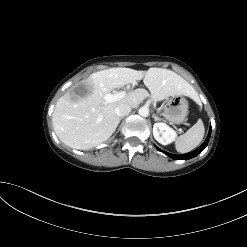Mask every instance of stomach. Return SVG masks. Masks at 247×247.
I'll use <instances>...</instances> for the list:
<instances>
[{"mask_svg": "<svg viewBox=\"0 0 247 247\" xmlns=\"http://www.w3.org/2000/svg\"><path fill=\"white\" fill-rule=\"evenodd\" d=\"M188 115V101L183 96H172L164 107V118L174 124L183 123Z\"/></svg>", "mask_w": 247, "mask_h": 247, "instance_id": "0dacf381", "label": "stomach"}]
</instances>
